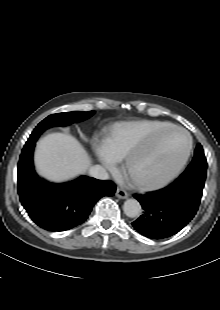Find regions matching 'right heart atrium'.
Returning a JSON list of instances; mask_svg holds the SVG:
<instances>
[{"label":"right heart atrium","mask_w":220,"mask_h":310,"mask_svg":"<svg viewBox=\"0 0 220 310\" xmlns=\"http://www.w3.org/2000/svg\"><path fill=\"white\" fill-rule=\"evenodd\" d=\"M99 158L100 160L102 161V163L110 170H114L115 169V162L112 161L106 154L105 152L102 150V147H101V150L99 152Z\"/></svg>","instance_id":"1"}]
</instances>
